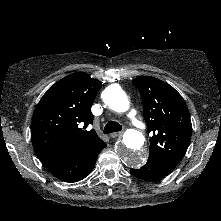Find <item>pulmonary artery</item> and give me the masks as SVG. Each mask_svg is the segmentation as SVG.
I'll list each match as a JSON object with an SVG mask.
<instances>
[{
  "label": "pulmonary artery",
  "instance_id": "pulmonary-artery-1",
  "mask_svg": "<svg viewBox=\"0 0 221 221\" xmlns=\"http://www.w3.org/2000/svg\"><path fill=\"white\" fill-rule=\"evenodd\" d=\"M128 118L130 119V121L132 122V124H134L136 127L138 128H144V124L138 120L137 118V113L134 109H131L128 113Z\"/></svg>",
  "mask_w": 221,
  "mask_h": 221
}]
</instances>
